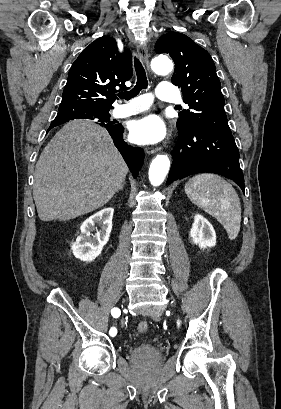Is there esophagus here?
<instances>
[{
  "instance_id": "obj_1",
  "label": "esophagus",
  "mask_w": 281,
  "mask_h": 409,
  "mask_svg": "<svg viewBox=\"0 0 281 409\" xmlns=\"http://www.w3.org/2000/svg\"><path fill=\"white\" fill-rule=\"evenodd\" d=\"M137 48V53L139 55V57L141 58V60L145 63L147 70L150 71L149 68V55H148V48L146 43H139L136 46ZM160 150V148H147L146 152L148 154H154L156 152H158Z\"/></svg>"
}]
</instances>
